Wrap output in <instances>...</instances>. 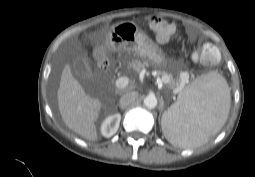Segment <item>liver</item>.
<instances>
[{"instance_id":"6515ba94","label":"liver","mask_w":255,"mask_h":177,"mask_svg":"<svg viewBox=\"0 0 255 177\" xmlns=\"http://www.w3.org/2000/svg\"><path fill=\"white\" fill-rule=\"evenodd\" d=\"M58 107L65 125L87 140H97L95 121L101 111V101L88 96L65 65L57 90Z\"/></svg>"}]
</instances>
